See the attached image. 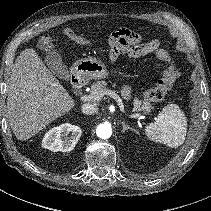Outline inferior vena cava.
<instances>
[{"instance_id":"1","label":"inferior vena cava","mask_w":211,"mask_h":211,"mask_svg":"<svg viewBox=\"0 0 211 211\" xmlns=\"http://www.w3.org/2000/svg\"><path fill=\"white\" fill-rule=\"evenodd\" d=\"M81 110L84 114H95L98 112V108L92 104H83Z\"/></svg>"}]
</instances>
